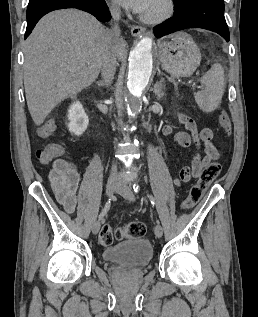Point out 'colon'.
<instances>
[{"label":"colon","mask_w":258,"mask_h":317,"mask_svg":"<svg viewBox=\"0 0 258 317\" xmlns=\"http://www.w3.org/2000/svg\"><path fill=\"white\" fill-rule=\"evenodd\" d=\"M220 127L226 134L231 132V121L226 112H221L218 117ZM64 148L61 144L52 143L37 151L38 159L43 163H48L63 154ZM221 165L218 162L207 164L198 179L191 187L187 198L183 201L184 209L193 208L203 197L212 182L218 177ZM146 232V227L142 222L133 221L122 228L114 230L110 225L105 224L99 234V241L104 246L111 245L115 240L123 237L138 239Z\"/></svg>","instance_id":"colon-1"}]
</instances>
